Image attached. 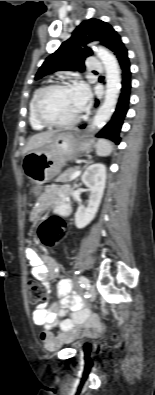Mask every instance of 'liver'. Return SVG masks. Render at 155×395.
Here are the masks:
<instances>
[{
    "label": "liver",
    "instance_id": "obj_1",
    "mask_svg": "<svg viewBox=\"0 0 155 395\" xmlns=\"http://www.w3.org/2000/svg\"><path fill=\"white\" fill-rule=\"evenodd\" d=\"M56 134H57L56 131H47L33 135L29 139L24 149V153L27 154L28 152L44 147L46 144L50 142L51 138Z\"/></svg>",
    "mask_w": 155,
    "mask_h": 395
}]
</instances>
